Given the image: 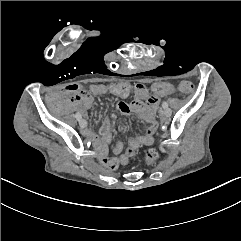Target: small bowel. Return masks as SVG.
<instances>
[{
    "instance_id": "small-bowel-1",
    "label": "small bowel",
    "mask_w": 241,
    "mask_h": 241,
    "mask_svg": "<svg viewBox=\"0 0 241 241\" xmlns=\"http://www.w3.org/2000/svg\"><path fill=\"white\" fill-rule=\"evenodd\" d=\"M106 84H93L90 86L89 91L84 90L80 85L71 84L67 87L66 91L73 95V101L68 100L69 104H73V107L78 113L85 114L90 108L93 96L107 94L105 92ZM134 99L130 104L125 102L118 103V109L124 115L136 114L139 118L147 123V128L143 135L132 137L128 142L127 149L123 152L124 144L122 142L116 143L113 148V153L119 155V159L102 156L101 162L104 165L109 166L111 169H115L118 163L123 165L127 164L129 159L136 153V151L144 145H151L154 142L155 135L158 129V120L156 118V112L158 108L159 98L162 95L155 94L152 96L156 97L155 102H151L147 87L142 83H137L134 86ZM131 90V86H130ZM129 90V92H130ZM129 94V93H128ZM127 94V95H128ZM60 95L58 90L49 92L46 96V102L50 105V111L58 116L63 115L64 110L59 106V101L56 99ZM126 95V96H127ZM125 96V97H126ZM99 135H95L91 130H84L83 134L91 138L97 146L100 154L104 155L106 152L107 144L111 140V124L108 119H104L98 129ZM115 163V167H113Z\"/></svg>"
}]
</instances>
